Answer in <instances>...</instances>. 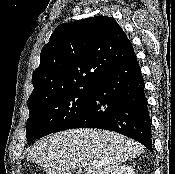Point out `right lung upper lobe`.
Here are the masks:
<instances>
[{"label":"right lung upper lobe","instance_id":"cb5924a9","mask_svg":"<svg viewBox=\"0 0 175 174\" xmlns=\"http://www.w3.org/2000/svg\"><path fill=\"white\" fill-rule=\"evenodd\" d=\"M134 55L130 40L111 17L61 24L41 51L28 105L64 91L95 85L108 70Z\"/></svg>","mask_w":175,"mask_h":174}]
</instances>
